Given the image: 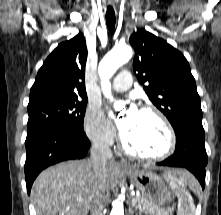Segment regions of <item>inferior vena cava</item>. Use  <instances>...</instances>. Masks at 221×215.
I'll list each match as a JSON object with an SVG mask.
<instances>
[{"instance_id": "obj_1", "label": "inferior vena cava", "mask_w": 221, "mask_h": 215, "mask_svg": "<svg viewBox=\"0 0 221 215\" xmlns=\"http://www.w3.org/2000/svg\"><path fill=\"white\" fill-rule=\"evenodd\" d=\"M113 157L110 147L103 141H94L91 147L90 162L93 166L95 176L101 182L106 173V165ZM107 201V189L103 185H98L93 195L90 211L91 215H103V210Z\"/></svg>"}]
</instances>
